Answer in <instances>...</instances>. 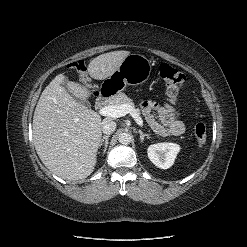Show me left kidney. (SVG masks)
Instances as JSON below:
<instances>
[{
	"instance_id": "1",
	"label": "left kidney",
	"mask_w": 247,
	"mask_h": 247,
	"mask_svg": "<svg viewBox=\"0 0 247 247\" xmlns=\"http://www.w3.org/2000/svg\"><path fill=\"white\" fill-rule=\"evenodd\" d=\"M180 151V146L175 143H157L148 147L147 153L150 161L161 169L170 168Z\"/></svg>"
}]
</instances>
